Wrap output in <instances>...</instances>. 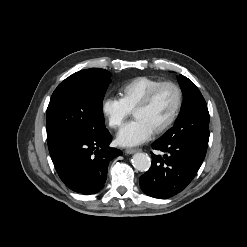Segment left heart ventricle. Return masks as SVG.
Segmentation results:
<instances>
[{
  "mask_svg": "<svg viewBox=\"0 0 247 247\" xmlns=\"http://www.w3.org/2000/svg\"><path fill=\"white\" fill-rule=\"evenodd\" d=\"M176 92L173 88L166 86L159 90L150 106L143 110L136 111L135 119L144 121L155 131L163 125L171 116L176 105Z\"/></svg>",
  "mask_w": 247,
  "mask_h": 247,
  "instance_id": "1",
  "label": "left heart ventricle"
}]
</instances>
